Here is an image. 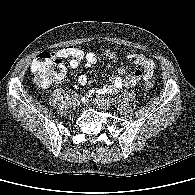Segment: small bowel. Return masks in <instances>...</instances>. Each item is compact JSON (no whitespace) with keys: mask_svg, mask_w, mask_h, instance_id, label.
Masks as SVG:
<instances>
[{"mask_svg":"<svg viewBox=\"0 0 195 195\" xmlns=\"http://www.w3.org/2000/svg\"><path fill=\"white\" fill-rule=\"evenodd\" d=\"M104 55L107 59H114L116 52L112 50H106ZM56 56L60 58H69V65L71 68H78L82 61L86 62L87 67H92L97 62V55L93 51L84 52L77 47H65L57 51ZM128 58L140 69L133 71L130 74H126L124 67H119L117 73L110 76L111 83L104 84L97 89H92L88 92L87 96H100L105 94H117L123 87L135 86L141 79L150 80L156 73V66L152 59L146 57L143 54H130ZM88 79L86 75H80L78 82L81 85H85Z\"/></svg>","mask_w":195,"mask_h":195,"instance_id":"c3829d8e","label":"small bowel"}]
</instances>
